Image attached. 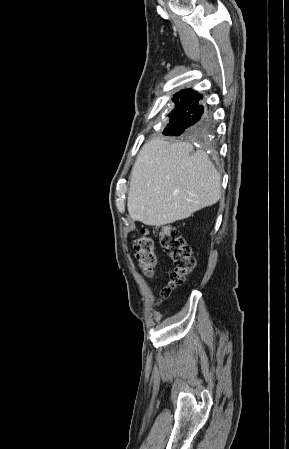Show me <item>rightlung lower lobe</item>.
I'll use <instances>...</instances> for the list:
<instances>
[{
	"label": "right lung lower lobe",
	"mask_w": 289,
	"mask_h": 449,
	"mask_svg": "<svg viewBox=\"0 0 289 449\" xmlns=\"http://www.w3.org/2000/svg\"><path fill=\"white\" fill-rule=\"evenodd\" d=\"M200 96L192 89L182 90L174 95L175 108L171 111L169 133L174 136H191L205 133L210 120L199 104Z\"/></svg>",
	"instance_id": "obj_1"
}]
</instances>
